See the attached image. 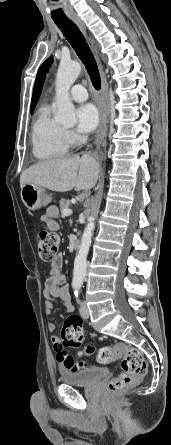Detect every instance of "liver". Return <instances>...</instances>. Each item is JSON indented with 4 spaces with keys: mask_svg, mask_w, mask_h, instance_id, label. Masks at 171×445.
<instances>
[{
    "mask_svg": "<svg viewBox=\"0 0 171 445\" xmlns=\"http://www.w3.org/2000/svg\"><path fill=\"white\" fill-rule=\"evenodd\" d=\"M98 164L89 155L63 156L32 165L20 176L21 188L31 183L56 192L93 188L98 179Z\"/></svg>",
    "mask_w": 171,
    "mask_h": 445,
    "instance_id": "liver-1",
    "label": "liver"
}]
</instances>
